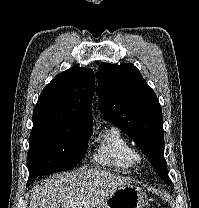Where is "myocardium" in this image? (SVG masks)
<instances>
[{
	"mask_svg": "<svg viewBox=\"0 0 199 208\" xmlns=\"http://www.w3.org/2000/svg\"><path fill=\"white\" fill-rule=\"evenodd\" d=\"M142 153L139 150H133V160L135 162H141L142 161Z\"/></svg>",
	"mask_w": 199,
	"mask_h": 208,
	"instance_id": "f54148a6",
	"label": "myocardium"
}]
</instances>
